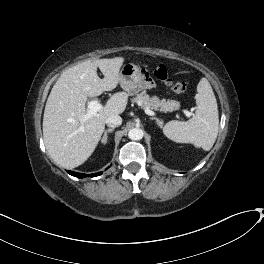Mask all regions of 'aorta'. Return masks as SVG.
I'll use <instances>...</instances> for the list:
<instances>
[{"mask_svg": "<svg viewBox=\"0 0 264 264\" xmlns=\"http://www.w3.org/2000/svg\"><path fill=\"white\" fill-rule=\"evenodd\" d=\"M143 130L140 129V128H132L130 129V131L128 132V137L131 139V140H140L143 138Z\"/></svg>", "mask_w": 264, "mask_h": 264, "instance_id": "obj_1", "label": "aorta"}]
</instances>
